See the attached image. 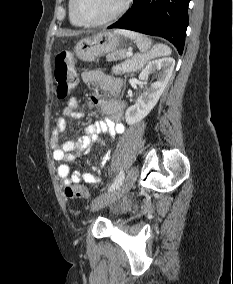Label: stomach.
Returning <instances> with one entry per match:
<instances>
[{"instance_id": "1", "label": "stomach", "mask_w": 233, "mask_h": 284, "mask_svg": "<svg viewBox=\"0 0 233 284\" xmlns=\"http://www.w3.org/2000/svg\"><path fill=\"white\" fill-rule=\"evenodd\" d=\"M124 38L112 31H102L91 37L81 39L74 47L76 56L85 62H92L98 57L117 50H124Z\"/></svg>"}]
</instances>
